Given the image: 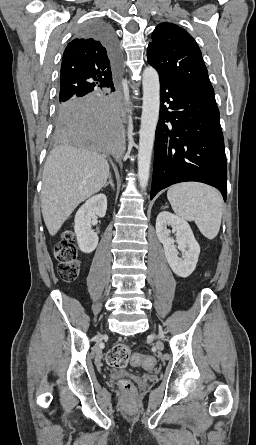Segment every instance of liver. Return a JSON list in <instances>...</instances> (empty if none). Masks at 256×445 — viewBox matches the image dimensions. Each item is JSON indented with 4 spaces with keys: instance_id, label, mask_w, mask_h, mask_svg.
Listing matches in <instances>:
<instances>
[{
    "instance_id": "6515ba94",
    "label": "liver",
    "mask_w": 256,
    "mask_h": 445,
    "mask_svg": "<svg viewBox=\"0 0 256 445\" xmlns=\"http://www.w3.org/2000/svg\"><path fill=\"white\" fill-rule=\"evenodd\" d=\"M104 157L85 152L82 146L62 144L50 152L43 171L41 210L54 236L74 209L99 192L109 176Z\"/></svg>"
}]
</instances>
